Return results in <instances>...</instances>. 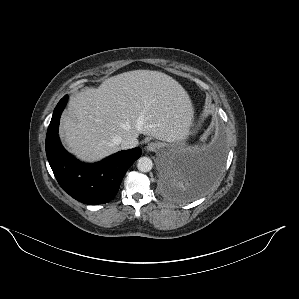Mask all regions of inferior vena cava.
<instances>
[{"instance_id":"obj_1","label":"inferior vena cava","mask_w":299,"mask_h":299,"mask_svg":"<svg viewBox=\"0 0 299 299\" xmlns=\"http://www.w3.org/2000/svg\"><path fill=\"white\" fill-rule=\"evenodd\" d=\"M115 143L119 144L122 149H131L138 145V140L135 137L127 136L125 138L116 139Z\"/></svg>"}]
</instances>
